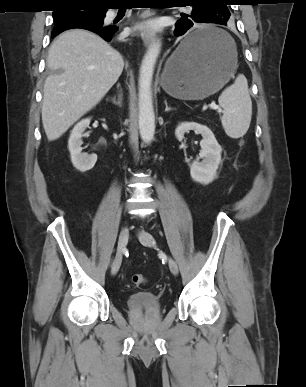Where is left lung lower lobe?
<instances>
[{"label": "left lung lower lobe", "mask_w": 306, "mask_h": 387, "mask_svg": "<svg viewBox=\"0 0 306 387\" xmlns=\"http://www.w3.org/2000/svg\"><path fill=\"white\" fill-rule=\"evenodd\" d=\"M195 22L204 23L201 20L190 17H181L174 31L176 37H180L186 33V38L182 42L183 53L189 54L207 48L219 39V34L212 30L195 31L189 34V29L195 26Z\"/></svg>", "instance_id": "obj_1"}]
</instances>
